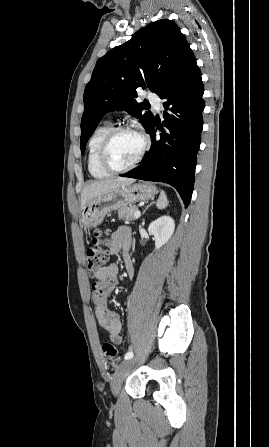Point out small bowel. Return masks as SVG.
<instances>
[{"instance_id": "c3829d8e", "label": "small bowel", "mask_w": 269, "mask_h": 447, "mask_svg": "<svg viewBox=\"0 0 269 447\" xmlns=\"http://www.w3.org/2000/svg\"><path fill=\"white\" fill-rule=\"evenodd\" d=\"M129 246V228L125 226L117 228L112 236L111 251L117 253L120 249L123 250L127 270L132 276L133 269L128 255ZM117 273L116 264H109L96 273L92 283V302L97 322L109 333L112 342L119 345L123 341L121 317L108 306V299L117 284Z\"/></svg>"}]
</instances>
